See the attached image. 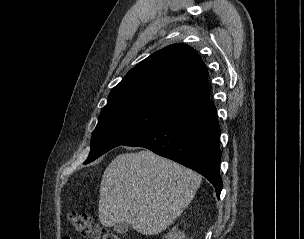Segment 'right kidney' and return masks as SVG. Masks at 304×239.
Masks as SVG:
<instances>
[{"label":"right kidney","instance_id":"obj_1","mask_svg":"<svg viewBox=\"0 0 304 239\" xmlns=\"http://www.w3.org/2000/svg\"><path fill=\"white\" fill-rule=\"evenodd\" d=\"M185 235L184 233L177 231L176 229H173L168 235L165 237V239H184Z\"/></svg>","mask_w":304,"mask_h":239}]
</instances>
